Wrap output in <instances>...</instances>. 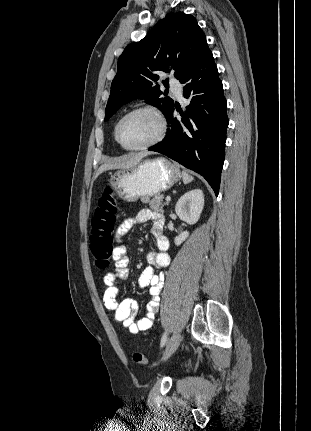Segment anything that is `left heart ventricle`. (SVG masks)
Here are the masks:
<instances>
[{"label": "left heart ventricle", "mask_w": 311, "mask_h": 431, "mask_svg": "<svg viewBox=\"0 0 311 431\" xmlns=\"http://www.w3.org/2000/svg\"><path fill=\"white\" fill-rule=\"evenodd\" d=\"M159 132V119L148 111L131 114L119 125L120 138L129 147L146 144L152 141Z\"/></svg>", "instance_id": "1"}]
</instances>
